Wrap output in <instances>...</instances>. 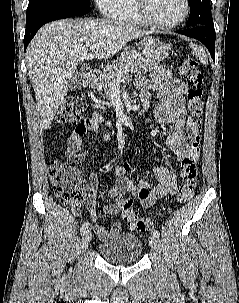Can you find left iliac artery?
I'll use <instances>...</instances> for the list:
<instances>
[{
    "label": "left iliac artery",
    "instance_id": "obj_1",
    "mask_svg": "<svg viewBox=\"0 0 239 303\" xmlns=\"http://www.w3.org/2000/svg\"><path fill=\"white\" fill-rule=\"evenodd\" d=\"M153 235L156 236V237H159V236H160V232H159L158 230L155 229V230L153 231Z\"/></svg>",
    "mask_w": 239,
    "mask_h": 303
}]
</instances>
